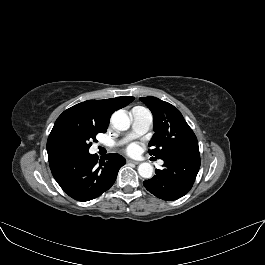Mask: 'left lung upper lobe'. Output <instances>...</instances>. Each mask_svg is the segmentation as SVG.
<instances>
[{"label":"left lung upper lobe","mask_w":265,"mask_h":265,"mask_svg":"<svg viewBox=\"0 0 265 265\" xmlns=\"http://www.w3.org/2000/svg\"><path fill=\"white\" fill-rule=\"evenodd\" d=\"M153 114L154 135L150 155L158 159L167 154L199 152L197 138L178 109L156 97L140 98Z\"/></svg>","instance_id":"1"}]
</instances>
